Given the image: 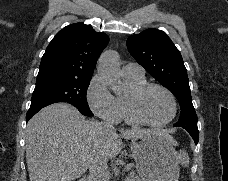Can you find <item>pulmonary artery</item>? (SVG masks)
Segmentation results:
<instances>
[{
  "label": "pulmonary artery",
  "mask_w": 228,
  "mask_h": 181,
  "mask_svg": "<svg viewBox=\"0 0 228 181\" xmlns=\"http://www.w3.org/2000/svg\"><path fill=\"white\" fill-rule=\"evenodd\" d=\"M124 70H127V75H142L141 65H137L136 62L124 65Z\"/></svg>",
  "instance_id": "1"
}]
</instances>
